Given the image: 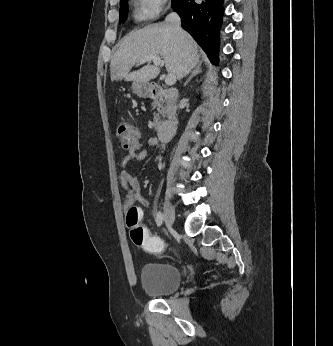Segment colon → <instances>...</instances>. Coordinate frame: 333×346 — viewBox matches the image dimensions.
<instances>
[{
    "mask_svg": "<svg viewBox=\"0 0 333 346\" xmlns=\"http://www.w3.org/2000/svg\"><path fill=\"white\" fill-rule=\"evenodd\" d=\"M117 138L125 149H132L138 142L137 128L130 122L123 121L117 128ZM141 210L137 206H129L126 213V225L130 229L132 242L143 247L144 254L160 256L165 246L163 235H150V227L141 225Z\"/></svg>",
    "mask_w": 333,
    "mask_h": 346,
    "instance_id": "1",
    "label": "colon"
}]
</instances>
